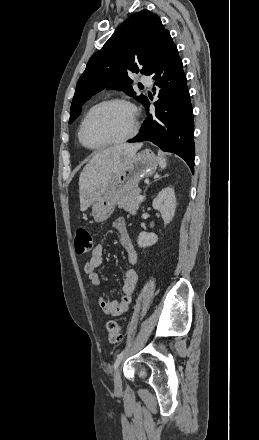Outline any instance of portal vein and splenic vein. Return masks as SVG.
Returning a JSON list of instances; mask_svg holds the SVG:
<instances>
[{"mask_svg": "<svg viewBox=\"0 0 259 440\" xmlns=\"http://www.w3.org/2000/svg\"><path fill=\"white\" fill-rule=\"evenodd\" d=\"M144 200V197L142 196V195H140L138 198H137V201H139V202H142Z\"/></svg>", "mask_w": 259, "mask_h": 440, "instance_id": "obj_1", "label": "portal vein and splenic vein"}]
</instances>
